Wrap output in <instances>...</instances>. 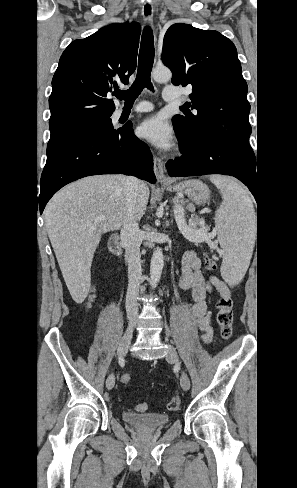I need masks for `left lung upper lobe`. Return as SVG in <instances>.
Wrapping results in <instances>:
<instances>
[{"mask_svg":"<svg viewBox=\"0 0 297 488\" xmlns=\"http://www.w3.org/2000/svg\"><path fill=\"white\" fill-rule=\"evenodd\" d=\"M162 60L174 85L193 90L188 107L197 112L172 118L179 141L218 140L252 150L248 86L233 42L217 31L176 23L164 36Z\"/></svg>","mask_w":297,"mask_h":488,"instance_id":"obj_1","label":"left lung upper lobe"}]
</instances>
